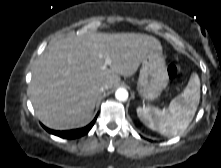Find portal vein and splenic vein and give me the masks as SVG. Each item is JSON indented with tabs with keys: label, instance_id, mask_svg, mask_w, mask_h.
<instances>
[{
	"label": "portal vein and splenic vein",
	"instance_id": "18ae733b",
	"mask_svg": "<svg viewBox=\"0 0 221 168\" xmlns=\"http://www.w3.org/2000/svg\"><path fill=\"white\" fill-rule=\"evenodd\" d=\"M104 58V65L102 66L103 69H106L108 66L111 65L112 61H111V58L108 56V55H104L103 56Z\"/></svg>",
	"mask_w": 221,
	"mask_h": 168
}]
</instances>
